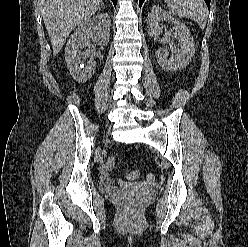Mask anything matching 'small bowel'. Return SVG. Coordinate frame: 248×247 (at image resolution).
<instances>
[{
    "label": "small bowel",
    "mask_w": 248,
    "mask_h": 247,
    "mask_svg": "<svg viewBox=\"0 0 248 247\" xmlns=\"http://www.w3.org/2000/svg\"><path fill=\"white\" fill-rule=\"evenodd\" d=\"M101 172H102V174H103L104 176H107V175H108L107 172H106V170H105L104 168L101 169Z\"/></svg>",
    "instance_id": "obj_1"
}]
</instances>
